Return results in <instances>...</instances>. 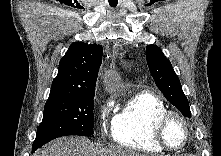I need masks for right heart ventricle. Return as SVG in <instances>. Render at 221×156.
Listing matches in <instances>:
<instances>
[{"label": "right heart ventricle", "mask_w": 221, "mask_h": 156, "mask_svg": "<svg viewBox=\"0 0 221 156\" xmlns=\"http://www.w3.org/2000/svg\"><path fill=\"white\" fill-rule=\"evenodd\" d=\"M167 110L157 95L147 91L137 93L113 118L114 142L140 152L161 153L164 149L155 141L153 130L158 117Z\"/></svg>", "instance_id": "1"}]
</instances>
